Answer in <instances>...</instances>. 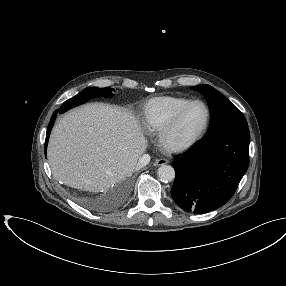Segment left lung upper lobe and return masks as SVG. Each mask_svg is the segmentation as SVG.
I'll list each match as a JSON object with an SVG mask.
<instances>
[{
  "label": "left lung upper lobe",
  "mask_w": 286,
  "mask_h": 286,
  "mask_svg": "<svg viewBox=\"0 0 286 286\" xmlns=\"http://www.w3.org/2000/svg\"><path fill=\"white\" fill-rule=\"evenodd\" d=\"M190 89L200 92L207 100L210 110V127L207 132L226 126H248L242 112L215 88L201 84Z\"/></svg>",
  "instance_id": "5c2ea615"
}]
</instances>
